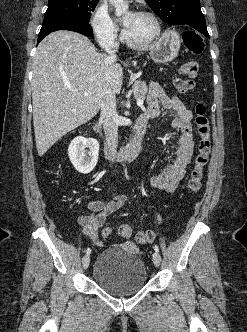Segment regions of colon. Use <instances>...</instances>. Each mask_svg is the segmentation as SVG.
I'll return each mask as SVG.
<instances>
[{
	"mask_svg": "<svg viewBox=\"0 0 247 332\" xmlns=\"http://www.w3.org/2000/svg\"><path fill=\"white\" fill-rule=\"evenodd\" d=\"M185 47L193 54H200L204 50V39L201 34L194 30H187L183 34ZM179 77L174 81L178 93L185 94L193 89L195 79L198 76L199 66L196 61H188L179 67ZM195 126L199 137L197 154L194 165L190 173L188 187L191 192L197 193L201 189L203 171L208 163L211 151L210 126L207 117V110L204 103L199 102L195 107ZM112 233L111 228L105 227L102 230V236L109 238ZM132 233L129 225L123 224L118 228V234L123 238H128ZM155 235L151 230L139 231L136 234L138 243L146 244L154 240Z\"/></svg>",
	"mask_w": 247,
	"mask_h": 332,
	"instance_id": "colon-1",
	"label": "colon"
}]
</instances>
